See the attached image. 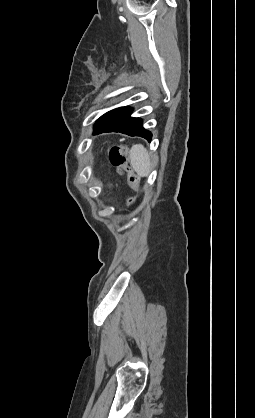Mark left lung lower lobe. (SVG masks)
Instances as JSON below:
<instances>
[{
	"mask_svg": "<svg viewBox=\"0 0 255 418\" xmlns=\"http://www.w3.org/2000/svg\"><path fill=\"white\" fill-rule=\"evenodd\" d=\"M131 108L121 107L102 115L94 125V134L102 132H121L130 136H140L151 140V132L142 127V120L130 117Z\"/></svg>",
	"mask_w": 255,
	"mask_h": 418,
	"instance_id": "1",
	"label": "left lung lower lobe"
}]
</instances>
